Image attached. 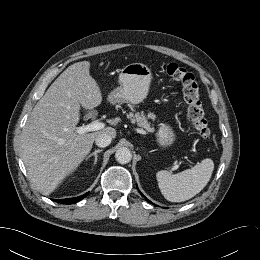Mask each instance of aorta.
I'll return each instance as SVG.
<instances>
[{
	"label": "aorta",
	"mask_w": 260,
	"mask_h": 260,
	"mask_svg": "<svg viewBox=\"0 0 260 260\" xmlns=\"http://www.w3.org/2000/svg\"><path fill=\"white\" fill-rule=\"evenodd\" d=\"M115 158L120 164H127L132 159L131 151L127 147H120L116 153Z\"/></svg>",
	"instance_id": "obj_1"
}]
</instances>
